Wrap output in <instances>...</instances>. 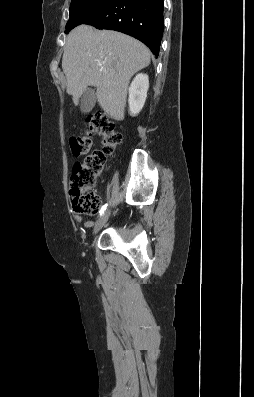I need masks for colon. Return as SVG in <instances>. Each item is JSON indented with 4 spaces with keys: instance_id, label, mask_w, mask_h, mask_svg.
<instances>
[{
    "instance_id": "5ec220e1",
    "label": "colon",
    "mask_w": 254,
    "mask_h": 397,
    "mask_svg": "<svg viewBox=\"0 0 254 397\" xmlns=\"http://www.w3.org/2000/svg\"><path fill=\"white\" fill-rule=\"evenodd\" d=\"M94 135L102 137V149L89 154ZM121 140L115 123L102 113L89 117L84 133L70 138L72 154L75 157L83 156L75 163L70 177L69 192L75 212L94 215L98 211L101 199L94 186L104 170L107 157L116 151Z\"/></svg>"
}]
</instances>
